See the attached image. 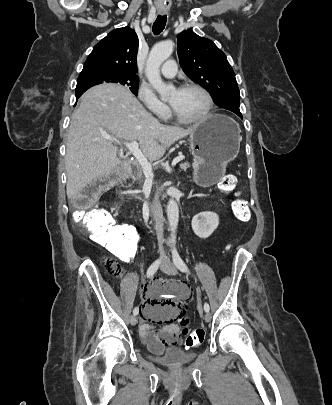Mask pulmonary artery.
Instances as JSON below:
<instances>
[{
	"label": "pulmonary artery",
	"mask_w": 332,
	"mask_h": 405,
	"mask_svg": "<svg viewBox=\"0 0 332 405\" xmlns=\"http://www.w3.org/2000/svg\"><path fill=\"white\" fill-rule=\"evenodd\" d=\"M176 73H177V65L174 60L166 61L161 68V74L164 77L172 78L176 75Z\"/></svg>",
	"instance_id": "pulmonary-artery-1"
}]
</instances>
